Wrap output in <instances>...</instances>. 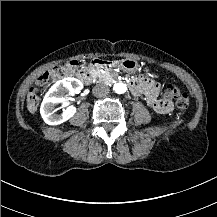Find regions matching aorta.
I'll return each instance as SVG.
<instances>
[{
	"instance_id": "aorta-1",
	"label": "aorta",
	"mask_w": 217,
	"mask_h": 217,
	"mask_svg": "<svg viewBox=\"0 0 217 217\" xmlns=\"http://www.w3.org/2000/svg\"><path fill=\"white\" fill-rule=\"evenodd\" d=\"M114 91L118 94H123L127 91V86L124 83H116L113 87Z\"/></svg>"
}]
</instances>
